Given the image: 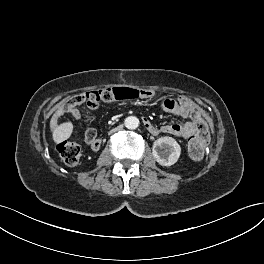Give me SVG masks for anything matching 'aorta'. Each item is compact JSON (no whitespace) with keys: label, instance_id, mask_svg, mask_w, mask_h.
I'll return each mask as SVG.
<instances>
[{"label":"aorta","instance_id":"aorta-1","mask_svg":"<svg viewBox=\"0 0 264 264\" xmlns=\"http://www.w3.org/2000/svg\"><path fill=\"white\" fill-rule=\"evenodd\" d=\"M125 127L127 129H136L139 126V119L135 116H129L125 119Z\"/></svg>","mask_w":264,"mask_h":264}]
</instances>
